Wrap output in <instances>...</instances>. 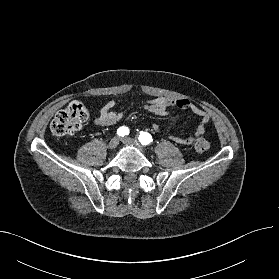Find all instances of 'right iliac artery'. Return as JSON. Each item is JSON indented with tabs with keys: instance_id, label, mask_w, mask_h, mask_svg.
Wrapping results in <instances>:
<instances>
[{
	"instance_id": "obj_1",
	"label": "right iliac artery",
	"mask_w": 279,
	"mask_h": 279,
	"mask_svg": "<svg viewBox=\"0 0 279 279\" xmlns=\"http://www.w3.org/2000/svg\"><path fill=\"white\" fill-rule=\"evenodd\" d=\"M117 134L120 136V137H124L126 135L129 134V129L125 126H122L120 127L118 130H117Z\"/></svg>"
}]
</instances>
